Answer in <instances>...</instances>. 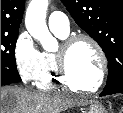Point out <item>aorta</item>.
<instances>
[{
    "mask_svg": "<svg viewBox=\"0 0 123 113\" xmlns=\"http://www.w3.org/2000/svg\"><path fill=\"white\" fill-rule=\"evenodd\" d=\"M48 0H31L26 10L25 25L30 35L36 39L44 50L52 52L57 49V41L46 25Z\"/></svg>",
    "mask_w": 123,
    "mask_h": 113,
    "instance_id": "1",
    "label": "aorta"
}]
</instances>
